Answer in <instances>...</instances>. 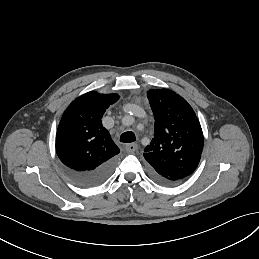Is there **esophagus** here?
Listing matches in <instances>:
<instances>
[{
	"mask_svg": "<svg viewBox=\"0 0 259 259\" xmlns=\"http://www.w3.org/2000/svg\"><path fill=\"white\" fill-rule=\"evenodd\" d=\"M138 149V145L136 143H130L125 146V150L129 153H133Z\"/></svg>",
	"mask_w": 259,
	"mask_h": 259,
	"instance_id": "1",
	"label": "esophagus"
}]
</instances>
